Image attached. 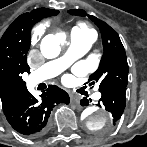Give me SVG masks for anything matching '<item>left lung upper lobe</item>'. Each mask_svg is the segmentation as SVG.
Returning <instances> with one entry per match:
<instances>
[{
  "label": "left lung upper lobe",
  "instance_id": "obj_1",
  "mask_svg": "<svg viewBox=\"0 0 147 147\" xmlns=\"http://www.w3.org/2000/svg\"><path fill=\"white\" fill-rule=\"evenodd\" d=\"M69 13L78 16L87 15L82 9L69 10ZM88 17L100 29L104 48L99 68L90 76V81L100 82V92L113 86L126 87L128 83V63L125 49L118 34L104 21L92 15H88Z\"/></svg>",
  "mask_w": 147,
  "mask_h": 147
}]
</instances>
